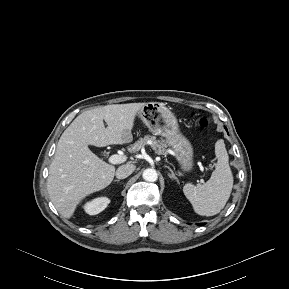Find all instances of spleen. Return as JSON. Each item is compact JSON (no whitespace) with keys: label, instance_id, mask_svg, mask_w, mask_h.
I'll return each mask as SVG.
<instances>
[{"label":"spleen","instance_id":"spleen-1","mask_svg":"<svg viewBox=\"0 0 289 289\" xmlns=\"http://www.w3.org/2000/svg\"><path fill=\"white\" fill-rule=\"evenodd\" d=\"M215 154L217 163L211 178L202 185L188 183L183 187L184 195L201 216L218 214L228 201L233 187V175L223 141L216 143Z\"/></svg>","mask_w":289,"mask_h":289}]
</instances>
